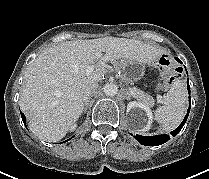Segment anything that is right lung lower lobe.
Masks as SVG:
<instances>
[{
	"label": "right lung lower lobe",
	"mask_w": 209,
	"mask_h": 179,
	"mask_svg": "<svg viewBox=\"0 0 209 179\" xmlns=\"http://www.w3.org/2000/svg\"><path fill=\"white\" fill-rule=\"evenodd\" d=\"M21 117H22V120H23V122H24V124H25V122H26V118H25V116H24V114L21 112ZM66 142V141H65Z\"/></svg>",
	"instance_id": "98d812e1"
}]
</instances>
